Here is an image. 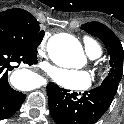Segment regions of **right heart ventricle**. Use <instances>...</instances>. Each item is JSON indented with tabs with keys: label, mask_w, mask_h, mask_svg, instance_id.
Instances as JSON below:
<instances>
[{
	"label": "right heart ventricle",
	"mask_w": 124,
	"mask_h": 124,
	"mask_svg": "<svg viewBox=\"0 0 124 124\" xmlns=\"http://www.w3.org/2000/svg\"><path fill=\"white\" fill-rule=\"evenodd\" d=\"M83 43H84L86 53L88 54L90 58L95 59L101 55L102 49L100 45L98 44V42L95 41L93 38L85 37L83 39Z\"/></svg>",
	"instance_id": "obj_1"
}]
</instances>
